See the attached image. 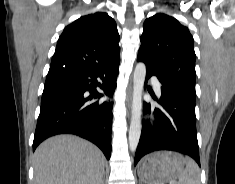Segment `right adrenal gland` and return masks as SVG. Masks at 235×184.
<instances>
[{"label": "right adrenal gland", "mask_w": 235, "mask_h": 184, "mask_svg": "<svg viewBox=\"0 0 235 184\" xmlns=\"http://www.w3.org/2000/svg\"><path fill=\"white\" fill-rule=\"evenodd\" d=\"M101 184H104V178H103V180H102Z\"/></svg>", "instance_id": "2a0ac1e0"}]
</instances>
